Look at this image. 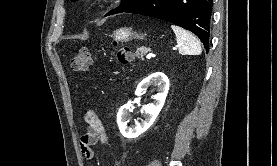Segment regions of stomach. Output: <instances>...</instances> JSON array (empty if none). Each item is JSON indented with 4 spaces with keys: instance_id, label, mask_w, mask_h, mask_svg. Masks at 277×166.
<instances>
[{
    "instance_id": "1",
    "label": "stomach",
    "mask_w": 277,
    "mask_h": 166,
    "mask_svg": "<svg viewBox=\"0 0 277 166\" xmlns=\"http://www.w3.org/2000/svg\"><path fill=\"white\" fill-rule=\"evenodd\" d=\"M113 39L119 42H128L133 39H143L144 35L133 31L130 28L122 27L116 29L112 35Z\"/></svg>"
}]
</instances>
